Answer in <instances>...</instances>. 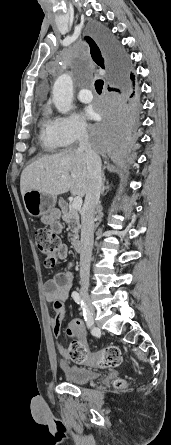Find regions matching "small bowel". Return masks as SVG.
<instances>
[{
  "label": "small bowel",
  "instance_id": "c3829d8e",
  "mask_svg": "<svg viewBox=\"0 0 171 445\" xmlns=\"http://www.w3.org/2000/svg\"><path fill=\"white\" fill-rule=\"evenodd\" d=\"M50 228L55 233H59L62 230V226L59 222L50 223ZM67 255V245L61 244L58 251L59 260L65 259ZM74 264V261H70L64 271L57 273L53 278L47 280L44 285L46 300L49 303L54 304L55 316L50 319V327L54 335L56 336L59 334L61 323L66 313L65 302L68 299V294L73 284V273L71 269ZM70 328L78 338V341L86 344V329L84 323L79 319H75L71 321ZM57 350L59 354L64 358V360L61 362V366L63 368H68V360L70 359L69 349L64 345L57 343Z\"/></svg>",
  "mask_w": 171,
  "mask_h": 445
}]
</instances>
